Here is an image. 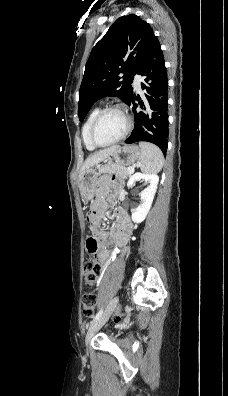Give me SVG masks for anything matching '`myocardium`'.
I'll list each match as a JSON object with an SVG mask.
<instances>
[{
  "label": "myocardium",
  "mask_w": 228,
  "mask_h": 396,
  "mask_svg": "<svg viewBox=\"0 0 228 396\" xmlns=\"http://www.w3.org/2000/svg\"><path fill=\"white\" fill-rule=\"evenodd\" d=\"M110 111H118L119 113H121L125 119L126 126H125V129L122 132V134L115 140L108 142V143H100L95 138V130H96L97 124L100 121V119L102 118V116ZM131 128H132V120H131V117L129 116V114L127 113V111L125 110V108L119 104L109 105V106H106L103 109H101L95 116V118L91 124L90 130H89V138H90L91 143L96 148L108 147V146H111L113 144H116V143L122 141L129 134V132L131 131Z\"/></svg>",
  "instance_id": "f54148a6"
}]
</instances>
